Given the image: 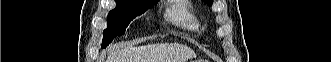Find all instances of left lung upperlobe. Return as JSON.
<instances>
[{"instance_id": "left-lung-upper-lobe-1", "label": "left lung upper lobe", "mask_w": 331, "mask_h": 62, "mask_svg": "<svg viewBox=\"0 0 331 62\" xmlns=\"http://www.w3.org/2000/svg\"><path fill=\"white\" fill-rule=\"evenodd\" d=\"M204 2H206V3H213V0H204Z\"/></svg>"}]
</instances>
